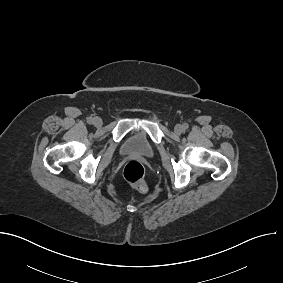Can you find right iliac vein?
<instances>
[{
  "label": "right iliac vein",
  "instance_id": "right-iliac-vein-1",
  "mask_svg": "<svg viewBox=\"0 0 283 283\" xmlns=\"http://www.w3.org/2000/svg\"><path fill=\"white\" fill-rule=\"evenodd\" d=\"M93 124L96 126V127H100L102 125V119L100 117H95L93 119Z\"/></svg>",
  "mask_w": 283,
  "mask_h": 283
}]
</instances>
